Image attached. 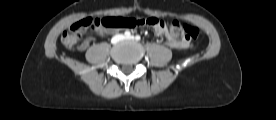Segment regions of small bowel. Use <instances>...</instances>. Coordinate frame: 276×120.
<instances>
[{"mask_svg": "<svg viewBox=\"0 0 276 120\" xmlns=\"http://www.w3.org/2000/svg\"><path fill=\"white\" fill-rule=\"evenodd\" d=\"M155 33L159 36H164L167 44L175 49H184L189 46V43L186 40L177 39L173 36L167 29L164 22H161L159 25L154 27ZM90 39H85L79 46L81 50H84L88 47Z\"/></svg>", "mask_w": 276, "mask_h": 120, "instance_id": "small-bowel-1", "label": "small bowel"}]
</instances>
